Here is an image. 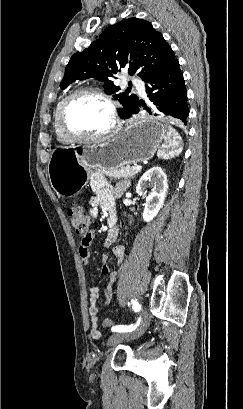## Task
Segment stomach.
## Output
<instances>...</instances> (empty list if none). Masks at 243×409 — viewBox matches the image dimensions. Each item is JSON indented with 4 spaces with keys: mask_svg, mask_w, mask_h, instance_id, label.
<instances>
[{
    "mask_svg": "<svg viewBox=\"0 0 243 409\" xmlns=\"http://www.w3.org/2000/svg\"><path fill=\"white\" fill-rule=\"evenodd\" d=\"M165 132V125L158 119L139 117L102 143L58 147L48 162L51 187L59 196L78 194L93 170L118 169L149 160L164 139Z\"/></svg>",
    "mask_w": 243,
    "mask_h": 409,
    "instance_id": "obj_1",
    "label": "stomach"
}]
</instances>
